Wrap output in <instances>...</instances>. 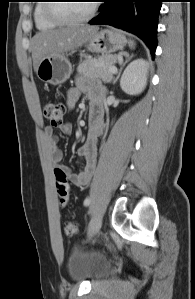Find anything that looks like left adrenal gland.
<instances>
[{"instance_id": "left-adrenal-gland-1", "label": "left adrenal gland", "mask_w": 195, "mask_h": 299, "mask_svg": "<svg viewBox=\"0 0 195 299\" xmlns=\"http://www.w3.org/2000/svg\"><path fill=\"white\" fill-rule=\"evenodd\" d=\"M132 57H133V55H131L130 57H128V58L125 60V62L122 63V65H121V67H120V69H119V72H118L116 78L113 80V84H115L116 81L119 79L123 67L125 66V64H126Z\"/></svg>"}]
</instances>
